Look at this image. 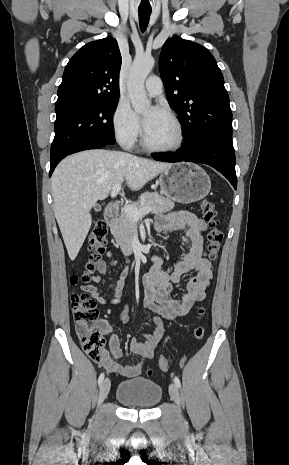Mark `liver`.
<instances>
[{
  "instance_id": "obj_1",
  "label": "liver",
  "mask_w": 289,
  "mask_h": 465,
  "mask_svg": "<svg viewBox=\"0 0 289 465\" xmlns=\"http://www.w3.org/2000/svg\"><path fill=\"white\" fill-rule=\"evenodd\" d=\"M173 164L103 149L86 150L63 159L52 179L54 214L69 258L75 260L91 228V208L124 181L133 190Z\"/></svg>"
}]
</instances>
